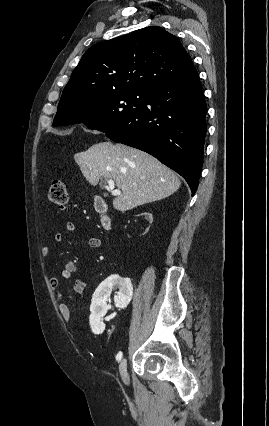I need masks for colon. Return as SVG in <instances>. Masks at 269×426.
<instances>
[{
	"instance_id": "5ec220e1",
	"label": "colon",
	"mask_w": 269,
	"mask_h": 426,
	"mask_svg": "<svg viewBox=\"0 0 269 426\" xmlns=\"http://www.w3.org/2000/svg\"><path fill=\"white\" fill-rule=\"evenodd\" d=\"M49 200L58 207H64L67 203V191L63 181H54L49 189Z\"/></svg>"
}]
</instances>
